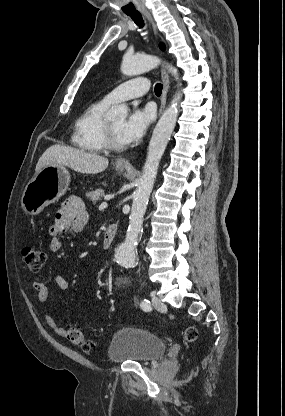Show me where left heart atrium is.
<instances>
[{
  "instance_id": "39dd6f15",
  "label": "left heart atrium",
  "mask_w": 285,
  "mask_h": 416,
  "mask_svg": "<svg viewBox=\"0 0 285 416\" xmlns=\"http://www.w3.org/2000/svg\"><path fill=\"white\" fill-rule=\"evenodd\" d=\"M152 119L151 111L134 107L127 119L123 122L119 135L123 144L137 142L145 134Z\"/></svg>"
}]
</instances>
